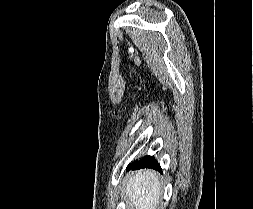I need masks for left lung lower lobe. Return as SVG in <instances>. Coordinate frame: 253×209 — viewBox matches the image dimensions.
<instances>
[{
  "mask_svg": "<svg viewBox=\"0 0 253 209\" xmlns=\"http://www.w3.org/2000/svg\"><path fill=\"white\" fill-rule=\"evenodd\" d=\"M133 170L141 169V168H151L157 171L162 172V168L160 167L159 163L153 156H144L139 161H135L131 165ZM130 169V165L127 167V170Z\"/></svg>",
  "mask_w": 253,
  "mask_h": 209,
  "instance_id": "1",
  "label": "left lung lower lobe"
}]
</instances>
